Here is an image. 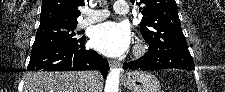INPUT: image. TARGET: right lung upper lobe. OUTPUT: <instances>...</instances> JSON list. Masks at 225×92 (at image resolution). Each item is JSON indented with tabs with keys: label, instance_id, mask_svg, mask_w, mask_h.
I'll use <instances>...</instances> for the list:
<instances>
[{
	"label": "right lung upper lobe",
	"instance_id": "1",
	"mask_svg": "<svg viewBox=\"0 0 225 92\" xmlns=\"http://www.w3.org/2000/svg\"><path fill=\"white\" fill-rule=\"evenodd\" d=\"M84 0H42L40 25L47 23H77L79 6Z\"/></svg>",
	"mask_w": 225,
	"mask_h": 92
}]
</instances>
